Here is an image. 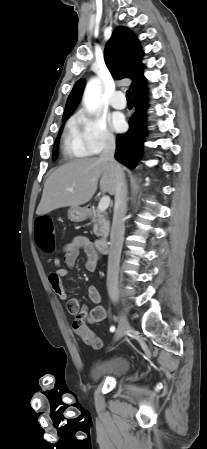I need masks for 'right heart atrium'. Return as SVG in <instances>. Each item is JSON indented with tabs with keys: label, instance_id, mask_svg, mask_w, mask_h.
<instances>
[{
	"label": "right heart atrium",
	"instance_id": "d8ad5b80",
	"mask_svg": "<svg viewBox=\"0 0 207 449\" xmlns=\"http://www.w3.org/2000/svg\"><path fill=\"white\" fill-rule=\"evenodd\" d=\"M75 121L81 141L89 154H99L115 144L116 138L104 118L81 111Z\"/></svg>",
	"mask_w": 207,
	"mask_h": 449
}]
</instances>
